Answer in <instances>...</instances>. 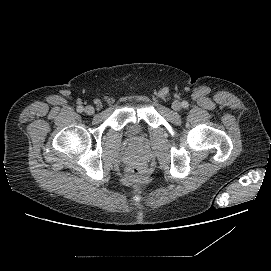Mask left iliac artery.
Here are the masks:
<instances>
[{
    "mask_svg": "<svg viewBox=\"0 0 271 271\" xmlns=\"http://www.w3.org/2000/svg\"><path fill=\"white\" fill-rule=\"evenodd\" d=\"M182 106L184 107V108H186L187 106H188V103L187 102H182Z\"/></svg>",
    "mask_w": 271,
    "mask_h": 271,
    "instance_id": "1",
    "label": "left iliac artery"
}]
</instances>
